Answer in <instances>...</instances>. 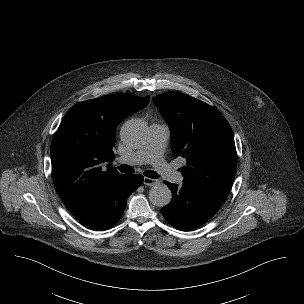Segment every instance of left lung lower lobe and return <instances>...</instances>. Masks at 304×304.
I'll return each instance as SVG.
<instances>
[{"label": "left lung lower lobe", "instance_id": "0a47b994", "mask_svg": "<svg viewBox=\"0 0 304 304\" xmlns=\"http://www.w3.org/2000/svg\"><path fill=\"white\" fill-rule=\"evenodd\" d=\"M164 183L170 188L173 198L161 213L176 229L188 231L198 228L213 217L222 204L220 200L185 186Z\"/></svg>", "mask_w": 304, "mask_h": 304}]
</instances>
